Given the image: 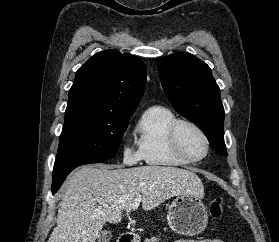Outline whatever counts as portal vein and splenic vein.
Wrapping results in <instances>:
<instances>
[{
  "mask_svg": "<svg viewBox=\"0 0 279 242\" xmlns=\"http://www.w3.org/2000/svg\"><path fill=\"white\" fill-rule=\"evenodd\" d=\"M140 202H141V197H137L133 200L131 206L129 209H132V210H135L138 208V206L140 205Z\"/></svg>",
  "mask_w": 279,
  "mask_h": 242,
  "instance_id": "portal-vein-and-splenic-vein-1",
  "label": "portal vein and splenic vein"
}]
</instances>
